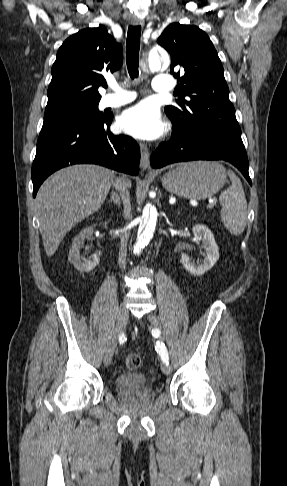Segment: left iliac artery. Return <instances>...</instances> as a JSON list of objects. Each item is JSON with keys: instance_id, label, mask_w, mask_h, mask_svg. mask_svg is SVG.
<instances>
[{"instance_id": "obj_1", "label": "left iliac artery", "mask_w": 287, "mask_h": 486, "mask_svg": "<svg viewBox=\"0 0 287 486\" xmlns=\"http://www.w3.org/2000/svg\"><path fill=\"white\" fill-rule=\"evenodd\" d=\"M155 348H156V351L161 356L162 361L164 363L168 364L169 363V355H168V351H167L165 344L162 343V342H157Z\"/></svg>"}]
</instances>
